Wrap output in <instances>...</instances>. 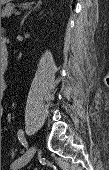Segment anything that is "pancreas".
Wrapping results in <instances>:
<instances>
[{"label":"pancreas","mask_w":109,"mask_h":170,"mask_svg":"<svg viewBox=\"0 0 109 170\" xmlns=\"http://www.w3.org/2000/svg\"><path fill=\"white\" fill-rule=\"evenodd\" d=\"M14 6L13 5H7L3 9H1V17H9L13 13Z\"/></svg>","instance_id":"pancreas-1"}]
</instances>
